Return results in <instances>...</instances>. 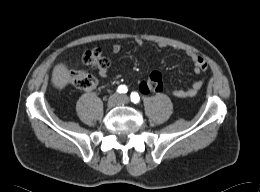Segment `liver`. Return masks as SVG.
Instances as JSON below:
<instances>
[{
	"label": "liver",
	"mask_w": 260,
	"mask_h": 192,
	"mask_svg": "<svg viewBox=\"0 0 260 192\" xmlns=\"http://www.w3.org/2000/svg\"><path fill=\"white\" fill-rule=\"evenodd\" d=\"M71 74L64 63L55 65L51 81L57 89H63L70 82Z\"/></svg>",
	"instance_id": "1"
}]
</instances>
